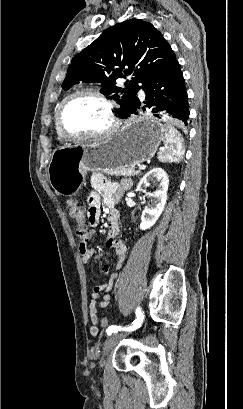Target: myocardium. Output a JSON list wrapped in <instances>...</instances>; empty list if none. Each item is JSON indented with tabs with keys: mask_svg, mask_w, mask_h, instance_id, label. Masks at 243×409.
<instances>
[{
	"mask_svg": "<svg viewBox=\"0 0 243 409\" xmlns=\"http://www.w3.org/2000/svg\"><path fill=\"white\" fill-rule=\"evenodd\" d=\"M79 95H89L97 100H99L106 108L107 117H108V126L100 132L89 134V135H73L68 133L63 125V114L68 102L76 96ZM56 125L60 135L69 141H88V140H97L104 137H107L114 133L119 127V121L115 113L114 103L102 92L93 88H81L78 89L68 96H66L61 103L59 104L57 113H56Z\"/></svg>",
	"mask_w": 243,
	"mask_h": 409,
	"instance_id": "myocardium-1",
	"label": "myocardium"
}]
</instances>
